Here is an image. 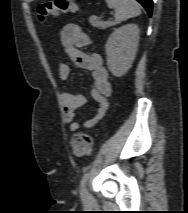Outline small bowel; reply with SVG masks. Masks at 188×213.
Instances as JSON below:
<instances>
[{"label":"small bowel","instance_id":"small-bowel-1","mask_svg":"<svg viewBox=\"0 0 188 213\" xmlns=\"http://www.w3.org/2000/svg\"><path fill=\"white\" fill-rule=\"evenodd\" d=\"M60 42L70 59L80 68L92 72L94 80V88L92 89V97L97 103L94 116L83 123L84 128H92L106 114L109 108V97L112 93V86L109 80V74L102 62L99 53H84L81 48L91 44V38L77 24H67L63 26L60 32ZM71 75V66L67 63L59 65V77L66 80ZM62 103L64 106V121L69 125L72 133L77 132L81 125L75 121V113L77 109L85 105L86 98L81 94H74L65 90L62 95Z\"/></svg>","mask_w":188,"mask_h":213}]
</instances>
